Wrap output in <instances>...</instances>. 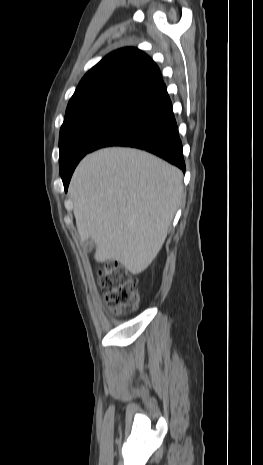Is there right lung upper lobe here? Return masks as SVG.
I'll return each instance as SVG.
<instances>
[{"mask_svg":"<svg viewBox=\"0 0 263 465\" xmlns=\"http://www.w3.org/2000/svg\"><path fill=\"white\" fill-rule=\"evenodd\" d=\"M163 85L153 60L137 48L116 50L97 63L80 81L66 111L108 97L139 99Z\"/></svg>","mask_w":263,"mask_h":465,"instance_id":"cb5924a9","label":"right lung upper lobe"}]
</instances>
